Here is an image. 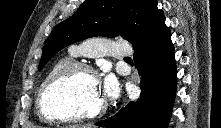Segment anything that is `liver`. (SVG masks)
Listing matches in <instances>:
<instances>
[{"mask_svg": "<svg viewBox=\"0 0 221 128\" xmlns=\"http://www.w3.org/2000/svg\"><path fill=\"white\" fill-rule=\"evenodd\" d=\"M67 128H95V126L91 124L87 125H69Z\"/></svg>", "mask_w": 221, "mask_h": 128, "instance_id": "6515ba94", "label": "liver"}]
</instances>
